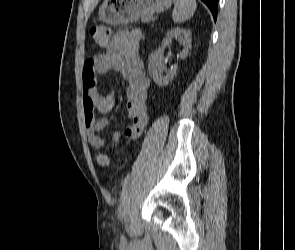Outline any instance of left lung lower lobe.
Segmentation results:
<instances>
[{"label": "left lung lower lobe", "mask_w": 295, "mask_h": 250, "mask_svg": "<svg viewBox=\"0 0 295 250\" xmlns=\"http://www.w3.org/2000/svg\"><path fill=\"white\" fill-rule=\"evenodd\" d=\"M202 2H204L208 6V8L213 14L214 19L216 20L218 0H202Z\"/></svg>", "instance_id": "left-lung-lower-lobe-1"}]
</instances>
